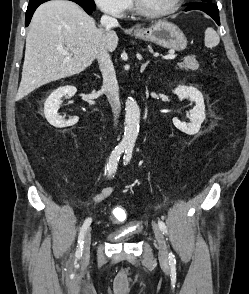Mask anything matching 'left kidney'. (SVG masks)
<instances>
[{"label":"left kidney","mask_w":249,"mask_h":294,"mask_svg":"<svg viewBox=\"0 0 249 294\" xmlns=\"http://www.w3.org/2000/svg\"><path fill=\"white\" fill-rule=\"evenodd\" d=\"M173 92L180 100L190 99L196 103L193 109L190 110V123L186 124L181 122L178 118H173L174 126L189 135L198 133L205 119V105L202 93L195 87L185 85L178 86Z\"/></svg>","instance_id":"left-kidney-1"}]
</instances>
